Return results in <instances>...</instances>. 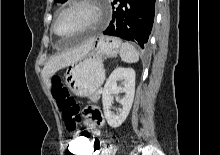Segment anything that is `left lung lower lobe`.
Returning a JSON list of instances; mask_svg holds the SVG:
<instances>
[{"instance_id":"1","label":"left lung lower lobe","mask_w":220,"mask_h":155,"mask_svg":"<svg viewBox=\"0 0 220 155\" xmlns=\"http://www.w3.org/2000/svg\"><path fill=\"white\" fill-rule=\"evenodd\" d=\"M155 1L113 0L112 21L104 34L131 40L144 49L154 21Z\"/></svg>"}]
</instances>
